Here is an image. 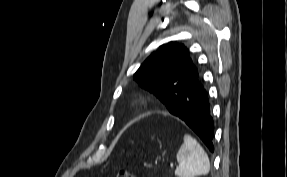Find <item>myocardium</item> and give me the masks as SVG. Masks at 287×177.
<instances>
[{"instance_id": "f54148a6", "label": "myocardium", "mask_w": 287, "mask_h": 177, "mask_svg": "<svg viewBox=\"0 0 287 177\" xmlns=\"http://www.w3.org/2000/svg\"><path fill=\"white\" fill-rule=\"evenodd\" d=\"M150 102H151V99L148 95L141 94L135 99L134 105L138 109H143V108L147 107L150 104Z\"/></svg>"}]
</instances>
